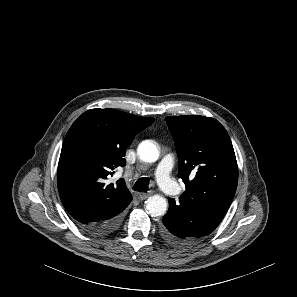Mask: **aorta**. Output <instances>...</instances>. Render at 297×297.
<instances>
[{"label": "aorta", "mask_w": 297, "mask_h": 297, "mask_svg": "<svg viewBox=\"0 0 297 297\" xmlns=\"http://www.w3.org/2000/svg\"><path fill=\"white\" fill-rule=\"evenodd\" d=\"M137 154L142 161L153 163L159 157V150L152 141L145 140L139 144ZM146 209L152 217L163 216L167 211V201L160 195H153L147 199Z\"/></svg>", "instance_id": "obj_1"}]
</instances>
